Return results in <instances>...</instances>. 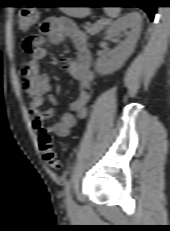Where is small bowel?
<instances>
[{"instance_id": "small-bowel-1", "label": "small bowel", "mask_w": 170, "mask_h": 231, "mask_svg": "<svg viewBox=\"0 0 170 231\" xmlns=\"http://www.w3.org/2000/svg\"><path fill=\"white\" fill-rule=\"evenodd\" d=\"M39 31L45 35L51 44H59L66 38L70 39L76 50V57L64 60L61 67L78 82V96L70 104L72 112L64 113L52 125H46V120L54 115L53 109L41 110L45 100L56 103L52 95L49 78L40 71V62L47 56L45 39L38 37V48L22 70L23 87L30 98L29 112L33 118V128L41 133H53L58 137H67L78 120L84 119L88 114V103L91 99L94 75L91 71V54L87 44L86 35L75 23L64 17L48 18L40 24Z\"/></svg>"}]
</instances>
